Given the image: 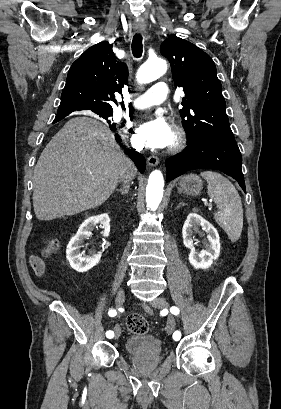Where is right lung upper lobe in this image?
<instances>
[{
    "mask_svg": "<svg viewBox=\"0 0 281 409\" xmlns=\"http://www.w3.org/2000/svg\"><path fill=\"white\" fill-rule=\"evenodd\" d=\"M127 77L126 64L116 60L108 42L90 47L70 67L57 113L113 111V93H121Z\"/></svg>",
    "mask_w": 281,
    "mask_h": 409,
    "instance_id": "right-lung-upper-lobe-1",
    "label": "right lung upper lobe"
}]
</instances>
